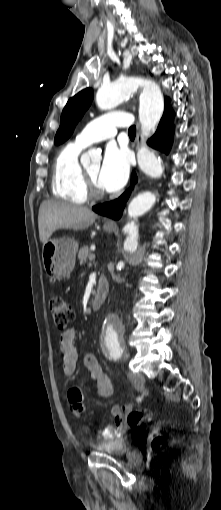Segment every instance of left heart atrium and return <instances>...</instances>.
<instances>
[{"instance_id": "left-heart-atrium-1", "label": "left heart atrium", "mask_w": 221, "mask_h": 510, "mask_svg": "<svg viewBox=\"0 0 221 510\" xmlns=\"http://www.w3.org/2000/svg\"><path fill=\"white\" fill-rule=\"evenodd\" d=\"M129 156L124 148L114 144L107 146L98 175L102 190L115 192L122 188L129 176Z\"/></svg>"}]
</instances>
